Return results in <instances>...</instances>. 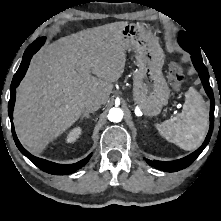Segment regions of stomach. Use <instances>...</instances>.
I'll return each instance as SVG.
<instances>
[{
	"label": "stomach",
	"mask_w": 221,
	"mask_h": 221,
	"mask_svg": "<svg viewBox=\"0 0 221 221\" xmlns=\"http://www.w3.org/2000/svg\"><path fill=\"white\" fill-rule=\"evenodd\" d=\"M122 36L127 49L134 51L138 66L133 81V99L144 115L156 116L170 96L162 74L163 50L156 38L139 24H127Z\"/></svg>",
	"instance_id": "0dacf381"
}]
</instances>
